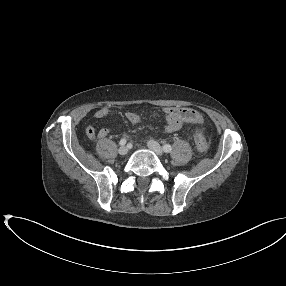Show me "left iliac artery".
<instances>
[{
    "label": "left iliac artery",
    "mask_w": 286,
    "mask_h": 286,
    "mask_svg": "<svg viewBox=\"0 0 286 286\" xmlns=\"http://www.w3.org/2000/svg\"><path fill=\"white\" fill-rule=\"evenodd\" d=\"M163 150H164V152L169 153V152H171L172 147H171V145H169V144H165V145L163 146Z\"/></svg>",
    "instance_id": "obj_1"
}]
</instances>
